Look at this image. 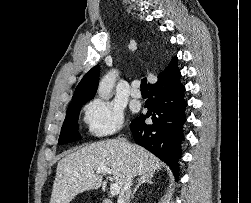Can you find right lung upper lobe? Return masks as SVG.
I'll return each instance as SVG.
<instances>
[{
    "instance_id": "right-lung-upper-lobe-1",
    "label": "right lung upper lobe",
    "mask_w": 251,
    "mask_h": 203,
    "mask_svg": "<svg viewBox=\"0 0 251 203\" xmlns=\"http://www.w3.org/2000/svg\"><path fill=\"white\" fill-rule=\"evenodd\" d=\"M177 57H174L170 64L158 75V80H160L174 65L177 64ZM100 66L96 65L90 69L82 78L76 90L74 96L72 97L73 103L84 102L91 100L97 91V86L99 83ZM149 84L148 86H150Z\"/></svg>"
}]
</instances>
